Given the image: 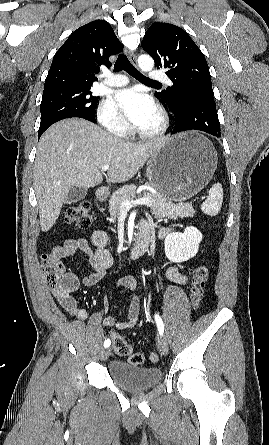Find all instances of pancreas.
I'll use <instances>...</instances> for the list:
<instances>
[{
	"instance_id": "pancreas-1",
	"label": "pancreas",
	"mask_w": 269,
	"mask_h": 445,
	"mask_svg": "<svg viewBox=\"0 0 269 445\" xmlns=\"http://www.w3.org/2000/svg\"><path fill=\"white\" fill-rule=\"evenodd\" d=\"M135 190V185H125L123 188L113 193L109 201V212L111 218L116 220V218L119 217L122 209V202L124 200L133 199L134 195L132 193ZM143 196L151 199L148 207L151 209L152 214L157 219L167 217L169 219L176 220L178 218L193 217L195 214V210L193 209L191 203L174 204L159 194L149 192L144 193Z\"/></svg>"
}]
</instances>
